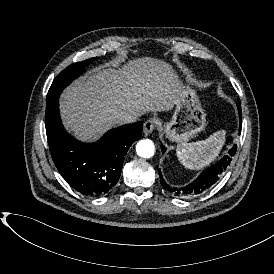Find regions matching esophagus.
<instances>
[{"label":"esophagus","instance_id":"obj_1","mask_svg":"<svg viewBox=\"0 0 274 274\" xmlns=\"http://www.w3.org/2000/svg\"><path fill=\"white\" fill-rule=\"evenodd\" d=\"M156 122L153 119H149L144 123L143 126V132L145 134H150L153 132L154 128H155Z\"/></svg>","mask_w":274,"mask_h":274}]
</instances>
